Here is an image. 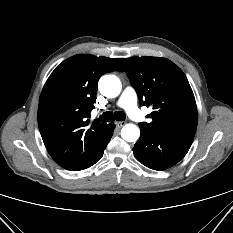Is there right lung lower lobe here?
Segmentation results:
<instances>
[{"label":"right lung lower lobe","instance_id":"98d812e1","mask_svg":"<svg viewBox=\"0 0 233 233\" xmlns=\"http://www.w3.org/2000/svg\"><path fill=\"white\" fill-rule=\"evenodd\" d=\"M113 129H114V125L109 124L108 127H107V130H106V133L104 134L103 138L101 139V143H100V146H99L98 153H97L95 159L93 160V163L90 166L94 165L103 156V152H104L108 142L110 141V139H111V137L113 135ZM90 166H88V167H90Z\"/></svg>","mask_w":233,"mask_h":233}]
</instances>
